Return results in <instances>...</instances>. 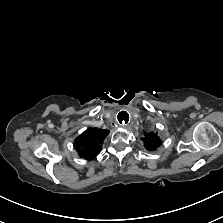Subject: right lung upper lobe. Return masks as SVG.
I'll list each match as a JSON object with an SVG mask.
<instances>
[{
    "label": "right lung upper lobe",
    "mask_w": 223,
    "mask_h": 223,
    "mask_svg": "<svg viewBox=\"0 0 223 223\" xmlns=\"http://www.w3.org/2000/svg\"><path fill=\"white\" fill-rule=\"evenodd\" d=\"M108 134L107 130L88 128L75 139L74 147L80 157L92 160L101 152V144Z\"/></svg>",
    "instance_id": "obj_1"
}]
</instances>
